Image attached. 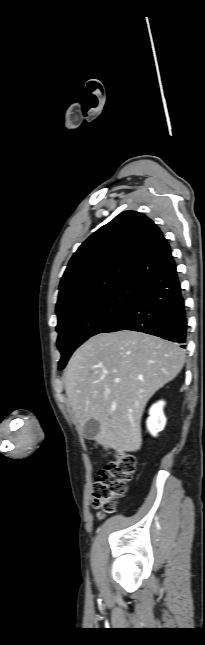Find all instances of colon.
Here are the masks:
<instances>
[{
	"mask_svg": "<svg viewBox=\"0 0 205 645\" xmlns=\"http://www.w3.org/2000/svg\"><path fill=\"white\" fill-rule=\"evenodd\" d=\"M136 460L134 456L125 452L113 453V460L99 471L93 490V505L99 510L98 516L115 510L114 499L122 496L126 491L127 482L135 471Z\"/></svg>",
	"mask_w": 205,
	"mask_h": 645,
	"instance_id": "obj_1",
	"label": "colon"
}]
</instances>
